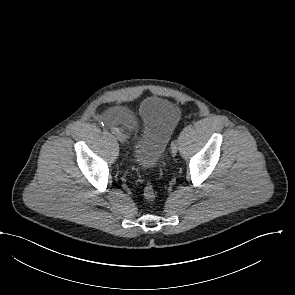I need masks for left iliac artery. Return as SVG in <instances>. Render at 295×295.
I'll list each match as a JSON object with an SVG mask.
<instances>
[{
  "mask_svg": "<svg viewBox=\"0 0 295 295\" xmlns=\"http://www.w3.org/2000/svg\"><path fill=\"white\" fill-rule=\"evenodd\" d=\"M174 145H177V140H173V141L171 142V146H174Z\"/></svg>",
  "mask_w": 295,
  "mask_h": 295,
  "instance_id": "obj_1",
  "label": "left iliac artery"
}]
</instances>
